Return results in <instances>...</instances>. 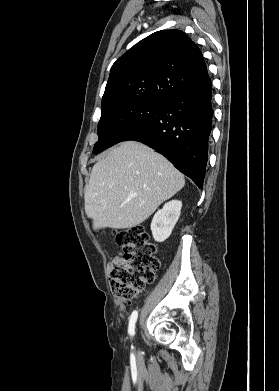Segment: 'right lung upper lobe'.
<instances>
[{
    "mask_svg": "<svg viewBox=\"0 0 279 391\" xmlns=\"http://www.w3.org/2000/svg\"><path fill=\"white\" fill-rule=\"evenodd\" d=\"M206 74L200 49L184 32H155L112 65L101 112L140 101L164 103Z\"/></svg>",
    "mask_w": 279,
    "mask_h": 391,
    "instance_id": "obj_1",
    "label": "right lung upper lobe"
}]
</instances>
